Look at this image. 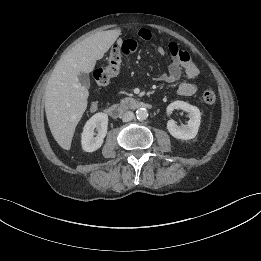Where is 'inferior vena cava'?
<instances>
[{
	"label": "inferior vena cava",
	"mask_w": 261,
	"mask_h": 261,
	"mask_svg": "<svg viewBox=\"0 0 261 261\" xmlns=\"http://www.w3.org/2000/svg\"><path fill=\"white\" fill-rule=\"evenodd\" d=\"M134 113L132 111H126L122 115V121L123 122H129L134 119Z\"/></svg>",
	"instance_id": "inferior-vena-cava-1"
}]
</instances>
